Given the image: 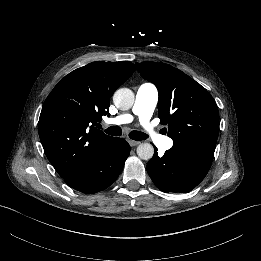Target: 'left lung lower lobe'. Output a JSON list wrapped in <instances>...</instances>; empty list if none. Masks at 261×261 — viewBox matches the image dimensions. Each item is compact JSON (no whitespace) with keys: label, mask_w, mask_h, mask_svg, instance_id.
<instances>
[{"label":"left lung lower lobe","mask_w":261,"mask_h":261,"mask_svg":"<svg viewBox=\"0 0 261 261\" xmlns=\"http://www.w3.org/2000/svg\"><path fill=\"white\" fill-rule=\"evenodd\" d=\"M214 152L195 146H175L162 157L155 151L147 172L163 192H190L207 175Z\"/></svg>","instance_id":"1"}]
</instances>
